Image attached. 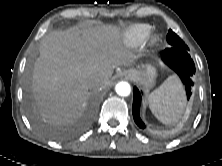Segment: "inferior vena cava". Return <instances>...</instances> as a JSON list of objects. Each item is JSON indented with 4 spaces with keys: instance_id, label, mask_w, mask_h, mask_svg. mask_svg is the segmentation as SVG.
I'll list each match as a JSON object with an SVG mask.
<instances>
[{
    "instance_id": "1",
    "label": "inferior vena cava",
    "mask_w": 222,
    "mask_h": 166,
    "mask_svg": "<svg viewBox=\"0 0 222 166\" xmlns=\"http://www.w3.org/2000/svg\"><path fill=\"white\" fill-rule=\"evenodd\" d=\"M95 87H97L99 90H101L104 87V84L102 81H95L94 82Z\"/></svg>"
}]
</instances>
